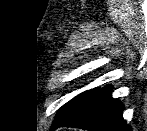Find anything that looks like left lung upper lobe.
Masks as SVG:
<instances>
[{"mask_svg": "<svg viewBox=\"0 0 147 131\" xmlns=\"http://www.w3.org/2000/svg\"><path fill=\"white\" fill-rule=\"evenodd\" d=\"M98 89H91L89 91L83 92L63 105L59 112L57 113L55 120L53 121V126L60 124L67 120L69 117L74 115L97 91Z\"/></svg>", "mask_w": 147, "mask_h": 131, "instance_id": "left-lung-upper-lobe-1", "label": "left lung upper lobe"}]
</instances>
